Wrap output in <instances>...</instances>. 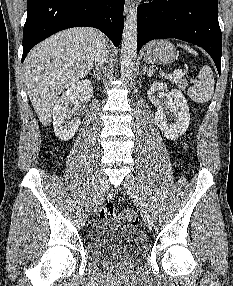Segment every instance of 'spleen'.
Here are the masks:
<instances>
[{
	"instance_id": "1",
	"label": "spleen",
	"mask_w": 233,
	"mask_h": 286,
	"mask_svg": "<svg viewBox=\"0 0 233 286\" xmlns=\"http://www.w3.org/2000/svg\"><path fill=\"white\" fill-rule=\"evenodd\" d=\"M179 47L197 56V52L191 47L179 44ZM214 94V76L212 69L205 65L198 74V81L188 89L189 97L197 103H206L212 99Z\"/></svg>"
}]
</instances>
